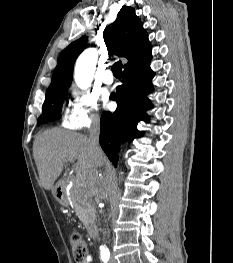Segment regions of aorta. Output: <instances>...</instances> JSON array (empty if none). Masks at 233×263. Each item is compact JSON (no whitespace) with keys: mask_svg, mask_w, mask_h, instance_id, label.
Wrapping results in <instances>:
<instances>
[{"mask_svg":"<svg viewBox=\"0 0 233 263\" xmlns=\"http://www.w3.org/2000/svg\"><path fill=\"white\" fill-rule=\"evenodd\" d=\"M97 62V52L95 49H87L76 61L74 79L78 87L87 89L93 80L95 67ZM101 255L108 256V250L101 247Z\"/></svg>","mask_w":233,"mask_h":263,"instance_id":"1","label":"aorta"}]
</instances>
